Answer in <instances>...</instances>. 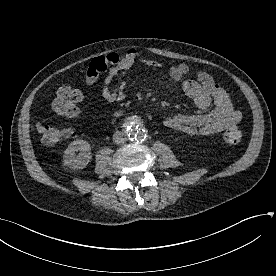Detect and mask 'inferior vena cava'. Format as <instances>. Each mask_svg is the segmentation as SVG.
I'll return each mask as SVG.
<instances>
[{"label": "inferior vena cava", "instance_id": "602c4592", "mask_svg": "<svg viewBox=\"0 0 276 276\" xmlns=\"http://www.w3.org/2000/svg\"><path fill=\"white\" fill-rule=\"evenodd\" d=\"M113 141H114L116 144H123V143L125 142L124 133L121 132V131H116V132L113 134Z\"/></svg>", "mask_w": 276, "mask_h": 276}]
</instances>
